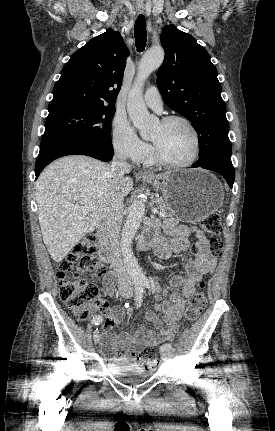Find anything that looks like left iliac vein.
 Returning <instances> with one entry per match:
<instances>
[{"instance_id":"left-iliac-vein-1","label":"left iliac vein","mask_w":275,"mask_h":431,"mask_svg":"<svg viewBox=\"0 0 275 431\" xmlns=\"http://www.w3.org/2000/svg\"><path fill=\"white\" fill-rule=\"evenodd\" d=\"M172 357H173V351L172 350H165V351H162V353H161V359L163 361H168Z\"/></svg>"}]
</instances>
